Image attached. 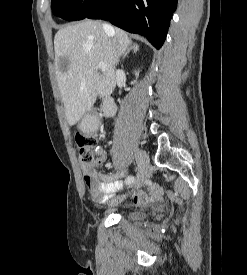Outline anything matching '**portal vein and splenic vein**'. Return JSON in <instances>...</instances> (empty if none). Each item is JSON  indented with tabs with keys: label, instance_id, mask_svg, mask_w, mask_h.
I'll return each instance as SVG.
<instances>
[{
	"label": "portal vein and splenic vein",
	"instance_id": "1",
	"mask_svg": "<svg viewBox=\"0 0 247 275\" xmlns=\"http://www.w3.org/2000/svg\"><path fill=\"white\" fill-rule=\"evenodd\" d=\"M97 68L105 72L107 70V65L105 63H99Z\"/></svg>",
	"mask_w": 247,
	"mask_h": 275
}]
</instances>
